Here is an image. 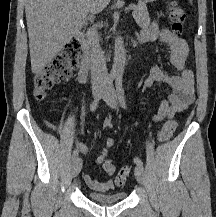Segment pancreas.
Instances as JSON below:
<instances>
[{
	"instance_id": "1",
	"label": "pancreas",
	"mask_w": 216,
	"mask_h": 217,
	"mask_svg": "<svg viewBox=\"0 0 216 217\" xmlns=\"http://www.w3.org/2000/svg\"><path fill=\"white\" fill-rule=\"evenodd\" d=\"M133 17L141 28H147L150 25V17L145 3L140 2L134 7Z\"/></svg>"
}]
</instances>
